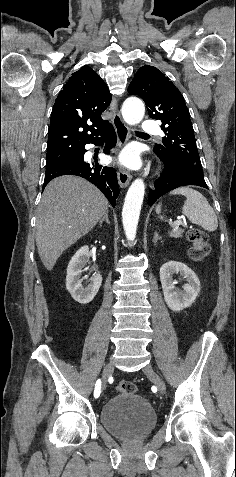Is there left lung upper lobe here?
Listing matches in <instances>:
<instances>
[{"label":"left lung upper lobe","instance_id":"1","mask_svg":"<svg viewBox=\"0 0 236 477\" xmlns=\"http://www.w3.org/2000/svg\"><path fill=\"white\" fill-rule=\"evenodd\" d=\"M128 92L139 95L146 103L149 116L162 122L163 145L155 144L154 152L169 163L204 178L189 110L169 78L156 67L145 65L137 71Z\"/></svg>","mask_w":236,"mask_h":477}]
</instances>
